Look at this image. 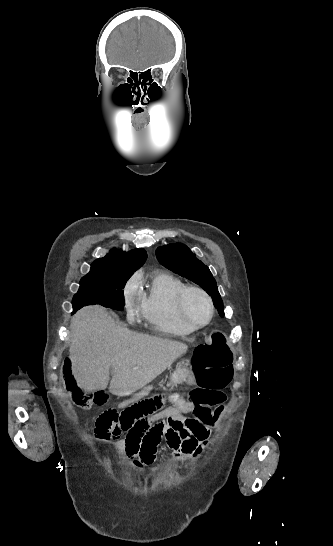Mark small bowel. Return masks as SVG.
Here are the masks:
<instances>
[{
  "instance_id": "obj_1",
  "label": "small bowel",
  "mask_w": 333,
  "mask_h": 546,
  "mask_svg": "<svg viewBox=\"0 0 333 546\" xmlns=\"http://www.w3.org/2000/svg\"><path fill=\"white\" fill-rule=\"evenodd\" d=\"M183 374L187 381L186 385L194 387L196 377L186 371ZM139 390L140 392L134 393L133 398L129 400L147 396L146 393L153 389L150 386H142ZM201 395L208 401L168 407L151 418L146 417L142 422L136 418H129L127 435L118 444L117 449L123 451L135 467H151L154 472L159 471L152 465L162 437L172 450L173 461L177 466L198 458L208 445L213 425L223 408L227 407L223 405L225 395L221 390L203 391ZM213 406H216V409H212ZM117 409L120 411L122 408L119 406ZM187 413H191L192 416H188ZM156 429L161 431L159 438L156 436Z\"/></svg>"
}]
</instances>
